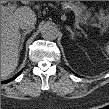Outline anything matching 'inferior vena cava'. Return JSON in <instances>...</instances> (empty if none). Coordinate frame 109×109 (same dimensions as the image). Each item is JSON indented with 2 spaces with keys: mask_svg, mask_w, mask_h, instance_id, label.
I'll return each mask as SVG.
<instances>
[{
  "mask_svg": "<svg viewBox=\"0 0 109 109\" xmlns=\"http://www.w3.org/2000/svg\"><path fill=\"white\" fill-rule=\"evenodd\" d=\"M34 23L31 21H24L20 23V28L26 31H32L34 29Z\"/></svg>",
  "mask_w": 109,
  "mask_h": 109,
  "instance_id": "602c4592",
  "label": "inferior vena cava"
}]
</instances>
